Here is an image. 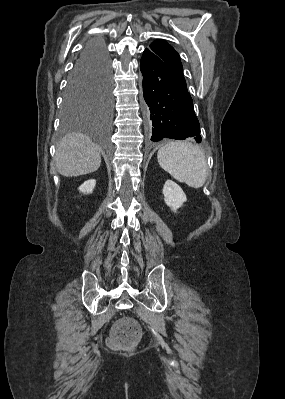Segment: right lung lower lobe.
Listing matches in <instances>:
<instances>
[{
	"label": "right lung lower lobe",
	"mask_w": 285,
	"mask_h": 399,
	"mask_svg": "<svg viewBox=\"0 0 285 399\" xmlns=\"http://www.w3.org/2000/svg\"><path fill=\"white\" fill-rule=\"evenodd\" d=\"M108 59L109 56L106 47L103 42L100 41H90L87 43L80 54L79 59L76 62L75 67L85 65L95 59Z\"/></svg>",
	"instance_id": "right-lung-lower-lobe-1"
}]
</instances>
